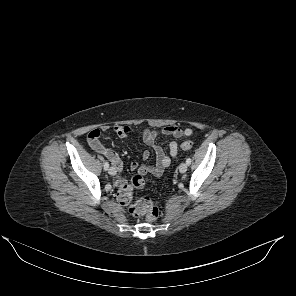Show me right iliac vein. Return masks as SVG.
Here are the masks:
<instances>
[{"mask_svg":"<svg viewBox=\"0 0 296 296\" xmlns=\"http://www.w3.org/2000/svg\"><path fill=\"white\" fill-rule=\"evenodd\" d=\"M108 173L111 175V176H114L116 174V170L114 167H110L109 170H108Z\"/></svg>","mask_w":296,"mask_h":296,"instance_id":"obj_1","label":"right iliac vein"}]
</instances>
